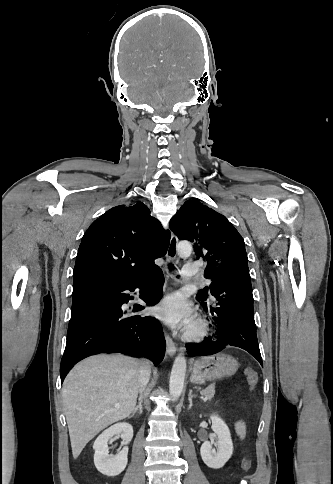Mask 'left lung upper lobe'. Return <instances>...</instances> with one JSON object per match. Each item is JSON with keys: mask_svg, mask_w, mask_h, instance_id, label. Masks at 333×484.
Listing matches in <instances>:
<instances>
[{"mask_svg": "<svg viewBox=\"0 0 333 484\" xmlns=\"http://www.w3.org/2000/svg\"><path fill=\"white\" fill-rule=\"evenodd\" d=\"M170 228L180 240L194 243L197 258L207 263L205 277H212L213 271L222 262L237 259L247 263V253L242 236L227 218L199 201H186L170 221ZM217 285L200 290L198 299L205 301L208 292L212 296Z\"/></svg>", "mask_w": 333, "mask_h": 484, "instance_id": "1", "label": "left lung upper lobe"}]
</instances>
